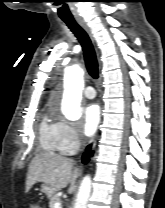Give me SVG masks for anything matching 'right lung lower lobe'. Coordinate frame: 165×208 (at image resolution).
Here are the masks:
<instances>
[{"label": "right lung lower lobe", "instance_id": "1", "mask_svg": "<svg viewBox=\"0 0 165 208\" xmlns=\"http://www.w3.org/2000/svg\"><path fill=\"white\" fill-rule=\"evenodd\" d=\"M90 149H91V145L88 146L87 152H85L82 157L84 163H87L89 160V157L92 156L93 154V152Z\"/></svg>", "mask_w": 165, "mask_h": 208}]
</instances>
